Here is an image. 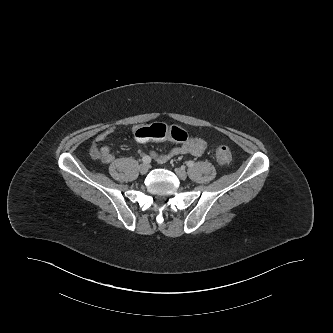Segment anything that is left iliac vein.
<instances>
[{
    "instance_id": "left-iliac-vein-1",
    "label": "left iliac vein",
    "mask_w": 333,
    "mask_h": 333,
    "mask_svg": "<svg viewBox=\"0 0 333 333\" xmlns=\"http://www.w3.org/2000/svg\"><path fill=\"white\" fill-rule=\"evenodd\" d=\"M175 173L181 180H185L187 178V173L184 169L176 168Z\"/></svg>"
}]
</instances>
